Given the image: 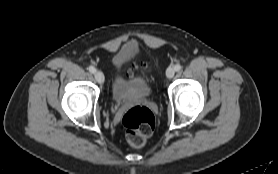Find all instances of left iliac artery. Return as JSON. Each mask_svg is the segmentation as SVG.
<instances>
[{"instance_id": "1", "label": "left iliac artery", "mask_w": 278, "mask_h": 174, "mask_svg": "<svg viewBox=\"0 0 278 174\" xmlns=\"http://www.w3.org/2000/svg\"><path fill=\"white\" fill-rule=\"evenodd\" d=\"M181 68H182V67H181L180 64H176L175 67H174L175 71H180Z\"/></svg>"}]
</instances>
